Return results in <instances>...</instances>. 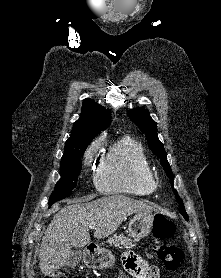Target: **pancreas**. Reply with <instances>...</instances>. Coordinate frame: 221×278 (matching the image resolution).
<instances>
[{
    "label": "pancreas",
    "mask_w": 221,
    "mask_h": 278,
    "mask_svg": "<svg viewBox=\"0 0 221 278\" xmlns=\"http://www.w3.org/2000/svg\"><path fill=\"white\" fill-rule=\"evenodd\" d=\"M107 242L110 245H114L115 247H124L129 248L136 245L137 240H132L129 237H124L123 235H114L113 237H110Z\"/></svg>",
    "instance_id": "obj_1"
}]
</instances>
